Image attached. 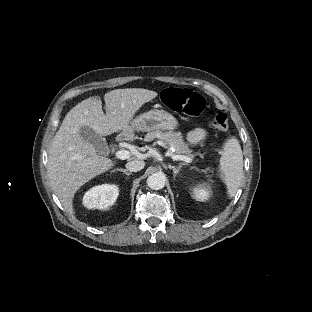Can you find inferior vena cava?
<instances>
[{
    "label": "inferior vena cava",
    "instance_id": "obj_1",
    "mask_svg": "<svg viewBox=\"0 0 312 312\" xmlns=\"http://www.w3.org/2000/svg\"><path fill=\"white\" fill-rule=\"evenodd\" d=\"M144 161L141 160H132L128 163H126V168L130 171V172H137L140 171L144 168Z\"/></svg>",
    "mask_w": 312,
    "mask_h": 312
}]
</instances>
